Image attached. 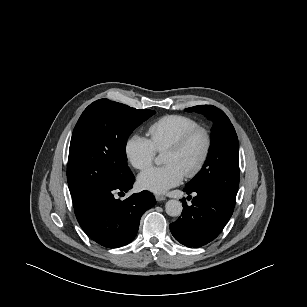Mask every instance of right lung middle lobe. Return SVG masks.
Listing matches in <instances>:
<instances>
[{"instance_id": "right-lung-middle-lobe-1", "label": "right lung middle lobe", "mask_w": 307, "mask_h": 307, "mask_svg": "<svg viewBox=\"0 0 307 307\" xmlns=\"http://www.w3.org/2000/svg\"><path fill=\"white\" fill-rule=\"evenodd\" d=\"M155 114L100 99L80 116L71 138L67 181L73 203L121 182L130 173L126 143L132 131Z\"/></svg>"}]
</instances>
